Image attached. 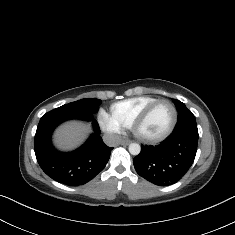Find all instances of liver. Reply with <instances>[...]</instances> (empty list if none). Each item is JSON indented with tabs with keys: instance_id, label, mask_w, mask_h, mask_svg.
Here are the masks:
<instances>
[{
	"instance_id": "obj_1",
	"label": "liver",
	"mask_w": 235,
	"mask_h": 235,
	"mask_svg": "<svg viewBox=\"0 0 235 235\" xmlns=\"http://www.w3.org/2000/svg\"><path fill=\"white\" fill-rule=\"evenodd\" d=\"M91 131L90 123L68 121L55 130L53 143L60 150H72L82 144Z\"/></svg>"
}]
</instances>
